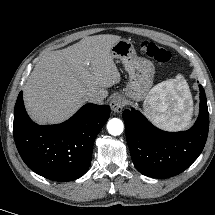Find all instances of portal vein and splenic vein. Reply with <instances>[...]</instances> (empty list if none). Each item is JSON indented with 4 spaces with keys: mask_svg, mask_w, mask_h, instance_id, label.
Here are the masks:
<instances>
[{
    "mask_svg": "<svg viewBox=\"0 0 215 215\" xmlns=\"http://www.w3.org/2000/svg\"><path fill=\"white\" fill-rule=\"evenodd\" d=\"M85 65H89V62L88 61H85V63H84Z\"/></svg>",
    "mask_w": 215,
    "mask_h": 215,
    "instance_id": "1",
    "label": "portal vein and splenic vein"
}]
</instances>
